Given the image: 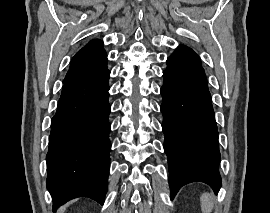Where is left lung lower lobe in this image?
<instances>
[{
	"mask_svg": "<svg viewBox=\"0 0 270 213\" xmlns=\"http://www.w3.org/2000/svg\"><path fill=\"white\" fill-rule=\"evenodd\" d=\"M163 78L160 109L171 198L185 184L197 181L217 193L221 187L218 129L204 70L167 67Z\"/></svg>",
	"mask_w": 270,
	"mask_h": 213,
	"instance_id": "obj_1",
	"label": "left lung lower lobe"
}]
</instances>
